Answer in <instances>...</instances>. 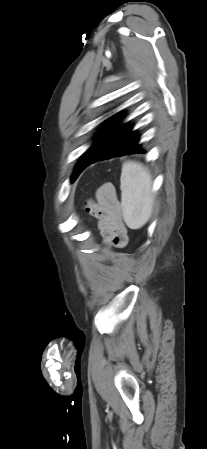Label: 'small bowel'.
Segmentation results:
<instances>
[{"label": "small bowel", "mask_w": 207, "mask_h": 449, "mask_svg": "<svg viewBox=\"0 0 207 449\" xmlns=\"http://www.w3.org/2000/svg\"><path fill=\"white\" fill-rule=\"evenodd\" d=\"M86 211L97 219L104 244L119 248L126 246L127 228L122 218L120 202L111 184H105L98 189L96 201H89Z\"/></svg>", "instance_id": "1"}]
</instances>
